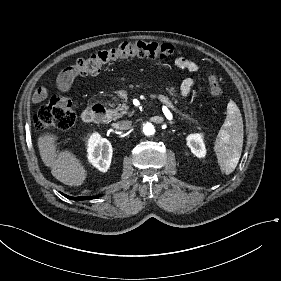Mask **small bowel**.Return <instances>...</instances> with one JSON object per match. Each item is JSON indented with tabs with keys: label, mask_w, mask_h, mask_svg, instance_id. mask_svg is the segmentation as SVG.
<instances>
[{
	"label": "small bowel",
	"mask_w": 281,
	"mask_h": 281,
	"mask_svg": "<svg viewBox=\"0 0 281 281\" xmlns=\"http://www.w3.org/2000/svg\"><path fill=\"white\" fill-rule=\"evenodd\" d=\"M175 65L181 69L188 70L190 72H198L199 67L193 61H190L185 58H179L175 61ZM77 73L75 71V67H67L65 68L58 76V88L62 92H67L71 84L73 83L74 79L76 78ZM194 86V81L192 79H186L182 82L180 87V92L182 97H187ZM36 99L38 102L43 103L48 100L49 95L45 87L40 86L37 88L36 92Z\"/></svg>",
	"instance_id": "small-bowel-1"
}]
</instances>
